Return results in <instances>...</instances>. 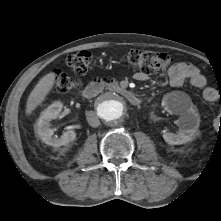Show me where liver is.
I'll list each match as a JSON object with an SVG mask.
<instances>
[{"label":"liver","instance_id":"6515ba94","mask_svg":"<svg viewBox=\"0 0 221 221\" xmlns=\"http://www.w3.org/2000/svg\"><path fill=\"white\" fill-rule=\"evenodd\" d=\"M55 82V74L53 72L43 76L35 85L34 89L28 96L26 103V114L30 115L46 98L51 91Z\"/></svg>","mask_w":221,"mask_h":221}]
</instances>
